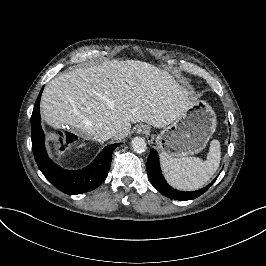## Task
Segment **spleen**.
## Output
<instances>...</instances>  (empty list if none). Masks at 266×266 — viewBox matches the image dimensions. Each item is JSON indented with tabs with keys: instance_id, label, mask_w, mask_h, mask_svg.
<instances>
[{
	"instance_id": "1",
	"label": "spleen",
	"mask_w": 266,
	"mask_h": 266,
	"mask_svg": "<svg viewBox=\"0 0 266 266\" xmlns=\"http://www.w3.org/2000/svg\"><path fill=\"white\" fill-rule=\"evenodd\" d=\"M221 146L216 139L210 142L207 160L198 157L175 158L160 154L162 170L167 182L178 190L194 191L202 188L218 170Z\"/></svg>"
}]
</instances>
